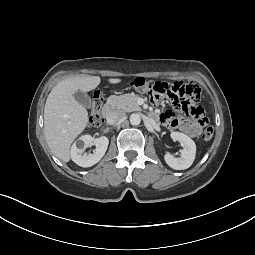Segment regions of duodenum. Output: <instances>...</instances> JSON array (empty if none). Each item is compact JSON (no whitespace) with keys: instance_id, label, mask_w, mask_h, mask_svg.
<instances>
[{"instance_id":"obj_1","label":"duodenum","mask_w":255,"mask_h":255,"mask_svg":"<svg viewBox=\"0 0 255 255\" xmlns=\"http://www.w3.org/2000/svg\"><path fill=\"white\" fill-rule=\"evenodd\" d=\"M113 114V108L111 105L107 104L102 110V115L104 118L109 119Z\"/></svg>"}]
</instances>
